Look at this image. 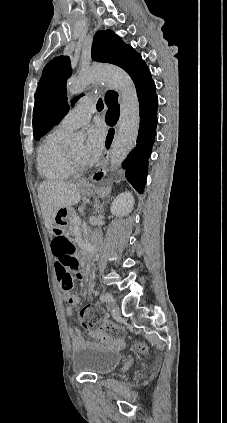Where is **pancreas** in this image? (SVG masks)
<instances>
[{"instance_id": "cf45deb5", "label": "pancreas", "mask_w": 227, "mask_h": 423, "mask_svg": "<svg viewBox=\"0 0 227 423\" xmlns=\"http://www.w3.org/2000/svg\"><path fill=\"white\" fill-rule=\"evenodd\" d=\"M77 213L74 211V215L72 219H70V225H69V231L71 235H75V233H78L80 231V225L77 223V221H74V217H76Z\"/></svg>"}]
</instances>
